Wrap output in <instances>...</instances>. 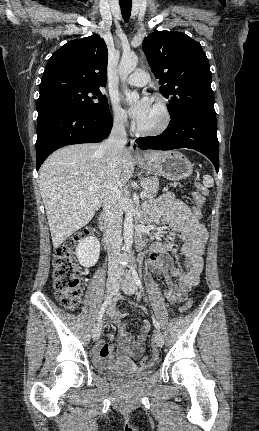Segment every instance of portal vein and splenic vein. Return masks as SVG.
I'll list each match as a JSON object with an SVG mask.
<instances>
[{
  "label": "portal vein and splenic vein",
  "instance_id": "1",
  "mask_svg": "<svg viewBox=\"0 0 259 431\" xmlns=\"http://www.w3.org/2000/svg\"><path fill=\"white\" fill-rule=\"evenodd\" d=\"M93 189H94L93 187H90V188H89V190H90V191H92ZM140 197H141V198L146 197V192H145V191H142V192L140 193Z\"/></svg>",
  "mask_w": 259,
  "mask_h": 431
}]
</instances>
